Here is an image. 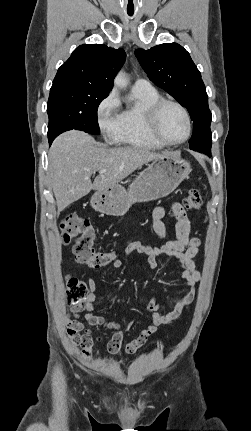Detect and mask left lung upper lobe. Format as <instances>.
I'll list each match as a JSON object with an SVG mask.
<instances>
[{
	"instance_id": "obj_1",
	"label": "left lung upper lobe",
	"mask_w": 251,
	"mask_h": 431,
	"mask_svg": "<svg viewBox=\"0 0 251 431\" xmlns=\"http://www.w3.org/2000/svg\"><path fill=\"white\" fill-rule=\"evenodd\" d=\"M135 55L149 79L185 106L199 131H193L190 149L211 153V112L201 74L189 53L177 43H164Z\"/></svg>"
}]
</instances>
